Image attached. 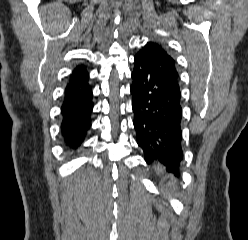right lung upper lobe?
Returning a JSON list of instances; mask_svg holds the SVG:
<instances>
[{
  "label": "right lung upper lobe",
  "instance_id": "obj_1",
  "mask_svg": "<svg viewBox=\"0 0 248 240\" xmlns=\"http://www.w3.org/2000/svg\"><path fill=\"white\" fill-rule=\"evenodd\" d=\"M84 70H86V68H85L84 65H78V66L74 69L72 75L77 74V73H80V72H82V71H84Z\"/></svg>",
  "mask_w": 248,
  "mask_h": 240
}]
</instances>
